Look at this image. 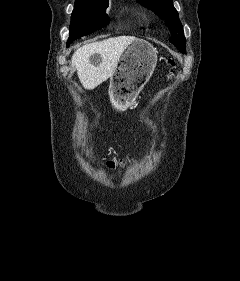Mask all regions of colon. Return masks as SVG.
Listing matches in <instances>:
<instances>
[{"instance_id":"obj_1","label":"colon","mask_w":240,"mask_h":281,"mask_svg":"<svg viewBox=\"0 0 240 281\" xmlns=\"http://www.w3.org/2000/svg\"><path fill=\"white\" fill-rule=\"evenodd\" d=\"M168 63H169V65H170V69H171L170 75H172V73L174 72L173 70H174L175 62L170 59V60L168 61ZM107 166H108V167H111V168H114V167L117 166V162H116L115 160H109V161H107Z\"/></svg>"}]
</instances>
